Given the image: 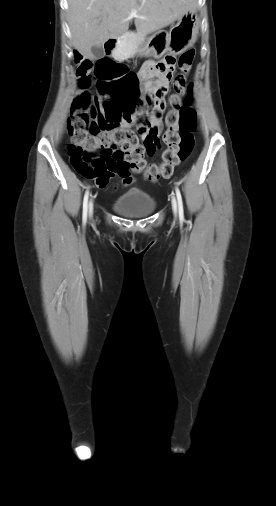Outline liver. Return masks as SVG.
Masks as SVG:
<instances>
[{
    "label": "liver",
    "instance_id": "1",
    "mask_svg": "<svg viewBox=\"0 0 276 506\" xmlns=\"http://www.w3.org/2000/svg\"><path fill=\"white\" fill-rule=\"evenodd\" d=\"M68 4L73 46L92 60L91 48L124 34L132 19L140 33H151L193 10L196 0H68Z\"/></svg>",
    "mask_w": 276,
    "mask_h": 506
}]
</instances>
